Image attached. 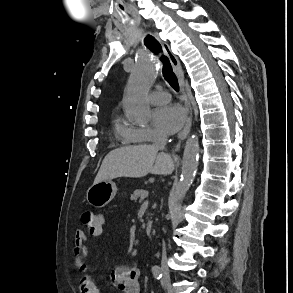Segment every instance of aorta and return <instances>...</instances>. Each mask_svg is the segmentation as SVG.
<instances>
[{
	"instance_id": "1",
	"label": "aorta",
	"mask_w": 293,
	"mask_h": 293,
	"mask_svg": "<svg viewBox=\"0 0 293 293\" xmlns=\"http://www.w3.org/2000/svg\"><path fill=\"white\" fill-rule=\"evenodd\" d=\"M158 73L159 68L156 60L146 56L137 60L135 69L130 74L124 98V108L128 117L138 124H146L151 119V110L146 101V95ZM198 161L199 143L197 138L193 136L185 144L181 176L173 190L172 203L185 197L195 178Z\"/></svg>"
}]
</instances>
